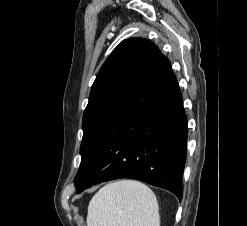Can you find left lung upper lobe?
I'll list each match as a JSON object with an SVG mask.
<instances>
[{"instance_id": "obj_1", "label": "left lung upper lobe", "mask_w": 247, "mask_h": 226, "mask_svg": "<svg viewBox=\"0 0 247 226\" xmlns=\"http://www.w3.org/2000/svg\"><path fill=\"white\" fill-rule=\"evenodd\" d=\"M160 54L159 48L151 41L130 38L122 41L102 65L83 114L79 170ZM74 183L75 186L79 183L78 173Z\"/></svg>"}]
</instances>
